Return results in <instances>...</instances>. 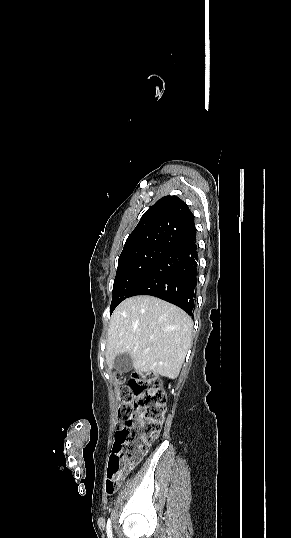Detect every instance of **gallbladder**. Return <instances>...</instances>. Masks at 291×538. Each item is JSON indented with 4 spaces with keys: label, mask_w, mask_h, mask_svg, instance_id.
<instances>
[{
    "label": "gallbladder",
    "mask_w": 291,
    "mask_h": 538,
    "mask_svg": "<svg viewBox=\"0 0 291 538\" xmlns=\"http://www.w3.org/2000/svg\"><path fill=\"white\" fill-rule=\"evenodd\" d=\"M114 368L118 372H129L133 368L132 357L128 353L118 354L114 359Z\"/></svg>",
    "instance_id": "gallbladder-1"
}]
</instances>
